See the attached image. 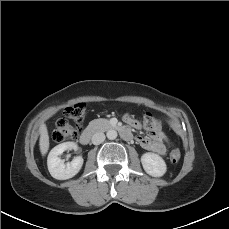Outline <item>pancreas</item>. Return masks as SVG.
<instances>
[{"label":"pancreas","instance_id":"obj_1","mask_svg":"<svg viewBox=\"0 0 229 229\" xmlns=\"http://www.w3.org/2000/svg\"><path fill=\"white\" fill-rule=\"evenodd\" d=\"M89 126L97 131H105L111 127L107 119H95L90 122Z\"/></svg>","mask_w":229,"mask_h":229}]
</instances>
